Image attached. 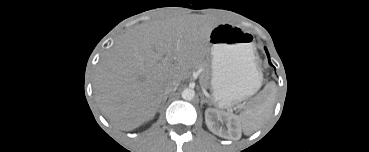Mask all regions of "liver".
<instances>
[{
	"instance_id": "obj_1",
	"label": "liver",
	"mask_w": 369,
	"mask_h": 152,
	"mask_svg": "<svg viewBox=\"0 0 369 152\" xmlns=\"http://www.w3.org/2000/svg\"><path fill=\"white\" fill-rule=\"evenodd\" d=\"M216 24L173 17L141 24L117 40L97 65L94 91L103 114L121 130L152 119L167 81H182L206 53Z\"/></svg>"
}]
</instances>
